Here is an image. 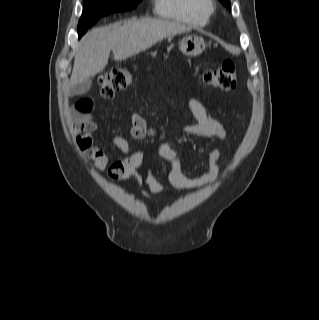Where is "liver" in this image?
Wrapping results in <instances>:
<instances>
[{
	"instance_id": "liver-1",
	"label": "liver",
	"mask_w": 319,
	"mask_h": 320,
	"mask_svg": "<svg viewBox=\"0 0 319 320\" xmlns=\"http://www.w3.org/2000/svg\"><path fill=\"white\" fill-rule=\"evenodd\" d=\"M190 28L162 19H127L91 30L81 39L74 59L69 86L100 73L107 65L111 50L116 61L147 50L164 38Z\"/></svg>"
}]
</instances>
